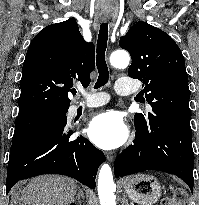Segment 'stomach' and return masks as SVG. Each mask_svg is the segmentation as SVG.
<instances>
[{
    "mask_svg": "<svg viewBox=\"0 0 199 205\" xmlns=\"http://www.w3.org/2000/svg\"><path fill=\"white\" fill-rule=\"evenodd\" d=\"M124 189L134 202L140 205H152L160 198L162 188L154 176L139 173L124 180Z\"/></svg>",
    "mask_w": 199,
    "mask_h": 205,
    "instance_id": "stomach-1",
    "label": "stomach"
}]
</instances>
